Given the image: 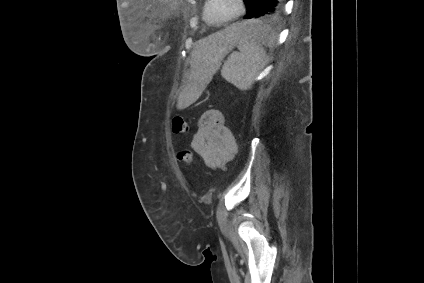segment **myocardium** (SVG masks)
Listing matches in <instances>:
<instances>
[{"mask_svg":"<svg viewBox=\"0 0 424 283\" xmlns=\"http://www.w3.org/2000/svg\"><path fill=\"white\" fill-rule=\"evenodd\" d=\"M212 1L213 0H206L205 5H204V17H205L206 21L211 25L218 26V25H222V24L231 22L233 20L238 19L245 12V8H246L245 1L244 0H235L236 10L232 15L225 17V18H221V19H211L210 15H209V7H210Z\"/></svg>","mask_w":424,"mask_h":283,"instance_id":"1","label":"myocardium"}]
</instances>
